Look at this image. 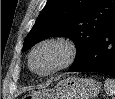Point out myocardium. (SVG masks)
<instances>
[{
    "label": "myocardium",
    "mask_w": 115,
    "mask_h": 99,
    "mask_svg": "<svg viewBox=\"0 0 115 99\" xmlns=\"http://www.w3.org/2000/svg\"><path fill=\"white\" fill-rule=\"evenodd\" d=\"M48 45H58L63 48L65 52V56L63 61L56 67L52 68L51 70H48L46 72H40L37 71L33 66V57L34 54L42 47L48 46ZM78 54V48L76 43L69 37L66 36H54L49 37L46 39L41 40L38 42L30 51L29 57H28V64L30 69L37 75L40 76H49L54 73H57L67 67H69L76 59Z\"/></svg>",
    "instance_id": "myocardium-1"
}]
</instances>
